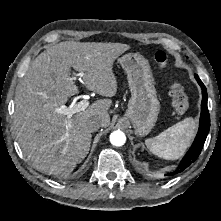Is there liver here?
<instances>
[{
    "instance_id": "obj_1",
    "label": "liver",
    "mask_w": 221,
    "mask_h": 221,
    "mask_svg": "<svg viewBox=\"0 0 221 221\" xmlns=\"http://www.w3.org/2000/svg\"><path fill=\"white\" fill-rule=\"evenodd\" d=\"M130 48L122 43L65 41L39 54L16 87L14 129L23 153L33 166L50 174H69L85 158L91 144L89 119L110 124L112 101L101 99L68 118L56 112L79 92L72 67L86 88L113 97L117 80L114 61Z\"/></svg>"
}]
</instances>
